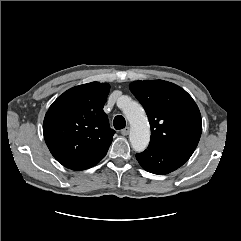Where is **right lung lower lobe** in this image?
Segmentation results:
<instances>
[{
    "label": "right lung lower lobe",
    "instance_id": "obj_1",
    "mask_svg": "<svg viewBox=\"0 0 241 241\" xmlns=\"http://www.w3.org/2000/svg\"><path fill=\"white\" fill-rule=\"evenodd\" d=\"M105 156V155H104ZM104 156L92 161V162H89V163H86V164H81V165H77L73 168H70L72 170H84V169H88L94 165H96Z\"/></svg>",
    "mask_w": 241,
    "mask_h": 241
}]
</instances>
